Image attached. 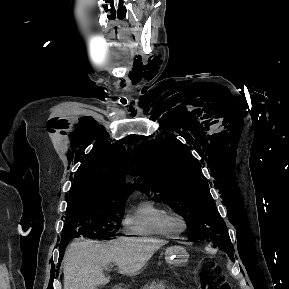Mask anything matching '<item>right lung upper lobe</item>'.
<instances>
[{
	"instance_id": "1",
	"label": "right lung upper lobe",
	"mask_w": 289,
	"mask_h": 289,
	"mask_svg": "<svg viewBox=\"0 0 289 289\" xmlns=\"http://www.w3.org/2000/svg\"><path fill=\"white\" fill-rule=\"evenodd\" d=\"M123 145H96L74 175L70 199L85 196L119 195L127 197L133 185H123V172L128 165Z\"/></svg>"
}]
</instances>
